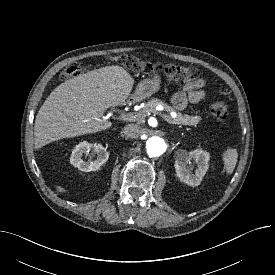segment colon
Listing matches in <instances>:
<instances>
[{"label":"colon","instance_id":"obj_1","mask_svg":"<svg viewBox=\"0 0 275 275\" xmlns=\"http://www.w3.org/2000/svg\"><path fill=\"white\" fill-rule=\"evenodd\" d=\"M113 60L124 67L138 73H151L154 71H163L166 78L177 84H188L198 79L200 71L192 66L183 65H158L151 64L132 54H121L113 57ZM82 69L79 65H71L61 73V79L67 80L80 75ZM210 114L219 120L228 116V106L220 101L213 102L208 108Z\"/></svg>","mask_w":275,"mask_h":275}]
</instances>
